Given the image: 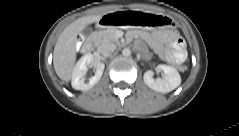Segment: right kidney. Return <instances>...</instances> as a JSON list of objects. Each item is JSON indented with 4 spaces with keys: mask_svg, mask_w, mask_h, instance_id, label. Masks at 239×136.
Instances as JSON below:
<instances>
[{
    "mask_svg": "<svg viewBox=\"0 0 239 136\" xmlns=\"http://www.w3.org/2000/svg\"><path fill=\"white\" fill-rule=\"evenodd\" d=\"M93 64H94V56L91 53H87L79 59L72 73L71 84L74 89L87 91L100 81L105 68V65L103 63H98L96 65L95 75L91 77L88 82L85 81L87 66Z\"/></svg>",
    "mask_w": 239,
    "mask_h": 136,
    "instance_id": "obj_1",
    "label": "right kidney"
}]
</instances>
